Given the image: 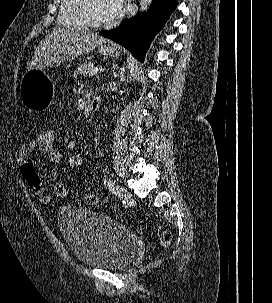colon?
I'll use <instances>...</instances> for the list:
<instances>
[{
	"label": "colon",
	"mask_w": 272,
	"mask_h": 303,
	"mask_svg": "<svg viewBox=\"0 0 272 303\" xmlns=\"http://www.w3.org/2000/svg\"><path fill=\"white\" fill-rule=\"evenodd\" d=\"M36 139L38 142L46 147V148H55L56 144V131L50 126H44L39 133L37 134ZM84 163V158L82 153L76 152L73 153L68 159V166L70 172H78ZM21 173L24 180L27 184L36 192L41 190V178L36 174L34 167L31 164H24L21 166ZM55 194L59 197H66L69 194V190L66 185L62 182L56 183L54 187ZM85 202L90 206H95L98 202L96 195L92 193L85 194ZM171 241V233L169 231H165L161 237V244L163 247H167Z\"/></svg>",
	"instance_id": "5ec220e1"
}]
</instances>
